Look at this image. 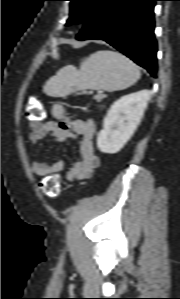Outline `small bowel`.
<instances>
[{"mask_svg":"<svg viewBox=\"0 0 180 299\" xmlns=\"http://www.w3.org/2000/svg\"><path fill=\"white\" fill-rule=\"evenodd\" d=\"M53 119L35 120L28 123L29 140L32 145L37 144L47 136H51L56 142L74 140L81 136L79 145V159L67 171L68 181L88 179L100 164V159L95 153L94 136L96 125L91 119H71L67 116L66 108L61 103L52 105ZM63 160L46 163L35 160L31 163V171L39 177L57 174L64 169Z\"/></svg>","mask_w":180,"mask_h":299,"instance_id":"obj_1","label":"small bowel"}]
</instances>
